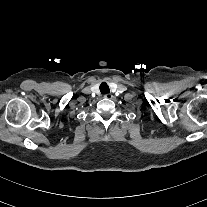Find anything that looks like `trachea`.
Wrapping results in <instances>:
<instances>
[{
    "instance_id": "1",
    "label": "trachea",
    "mask_w": 207,
    "mask_h": 207,
    "mask_svg": "<svg viewBox=\"0 0 207 207\" xmlns=\"http://www.w3.org/2000/svg\"><path fill=\"white\" fill-rule=\"evenodd\" d=\"M100 92L102 94H105V93H109L110 92V89H109V86L107 85V83L103 82L101 85H100Z\"/></svg>"
}]
</instances>
